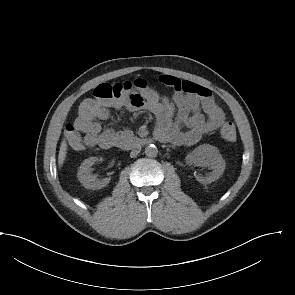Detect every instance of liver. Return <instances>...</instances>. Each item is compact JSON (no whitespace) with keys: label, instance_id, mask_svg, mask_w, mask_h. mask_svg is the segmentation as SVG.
<instances>
[{"label":"liver","instance_id":"6515ba94","mask_svg":"<svg viewBox=\"0 0 295 295\" xmlns=\"http://www.w3.org/2000/svg\"><path fill=\"white\" fill-rule=\"evenodd\" d=\"M67 154V144L66 141L63 140L60 146L59 155H58V165L62 167Z\"/></svg>","mask_w":295,"mask_h":295}]
</instances>
